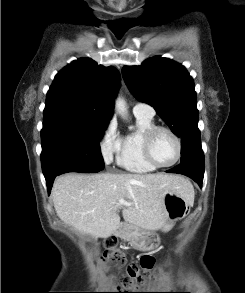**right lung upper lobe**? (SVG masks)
I'll return each mask as SVG.
<instances>
[{"instance_id": "right-lung-upper-lobe-1", "label": "right lung upper lobe", "mask_w": 245, "mask_h": 293, "mask_svg": "<svg viewBox=\"0 0 245 293\" xmlns=\"http://www.w3.org/2000/svg\"><path fill=\"white\" fill-rule=\"evenodd\" d=\"M119 86L115 67L98 65L90 58L75 60L55 76L44 117H76L107 124Z\"/></svg>"}]
</instances>
